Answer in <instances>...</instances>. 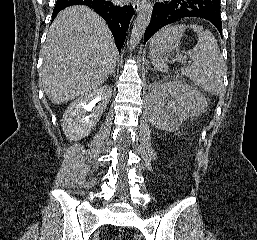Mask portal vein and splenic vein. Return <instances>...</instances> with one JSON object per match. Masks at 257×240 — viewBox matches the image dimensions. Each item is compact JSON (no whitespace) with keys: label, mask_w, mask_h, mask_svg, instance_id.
<instances>
[{"label":"portal vein and splenic vein","mask_w":257,"mask_h":240,"mask_svg":"<svg viewBox=\"0 0 257 240\" xmlns=\"http://www.w3.org/2000/svg\"><path fill=\"white\" fill-rule=\"evenodd\" d=\"M177 61L183 63L185 61L184 57H177Z\"/></svg>","instance_id":"1"}]
</instances>
